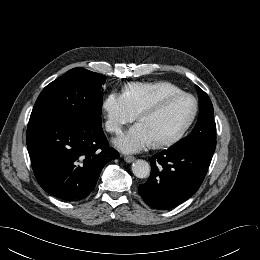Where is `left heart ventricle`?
I'll return each mask as SVG.
<instances>
[{
  "label": "left heart ventricle",
  "mask_w": 260,
  "mask_h": 260,
  "mask_svg": "<svg viewBox=\"0 0 260 260\" xmlns=\"http://www.w3.org/2000/svg\"><path fill=\"white\" fill-rule=\"evenodd\" d=\"M193 103L189 98L176 97L167 101L159 111L142 118L144 125L154 141L162 140L176 133L187 121Z\"/></svg>",
  "instance_id": "obj_1"
}]
</instances>
